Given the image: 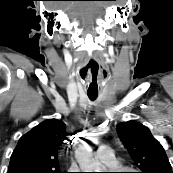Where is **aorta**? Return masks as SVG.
Masks as SVG:
<instances>
[{
	"mask_svg": "<svg viewBox=\"0 0 173 173\" xmlns=\"http://www.w3.org/2000/svg\"><path fill=\"white\" fill-rule=\"evenodd\" d=\"M93 142L97 141L96 137L90 138ZM76 159L82 172H100L101 167L93 158V154L89 148L80 149L76 152Z\"/></svg>",
	"mask_w": 173,
	"mask_h": 173,
	"instance_id": "obj_1",
	"label": "aorta"
}]
</instances>
